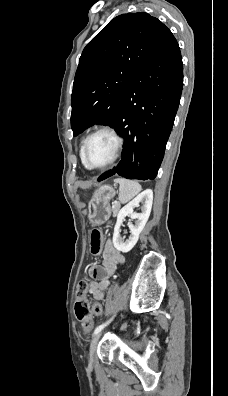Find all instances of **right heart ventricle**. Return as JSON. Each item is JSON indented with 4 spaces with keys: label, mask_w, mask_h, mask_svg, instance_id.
Here are the masks:
<instances>
[{
    "label": "right heart ventricle",
    "mask_w": 228,
    "mask_h": 396,
    "mask_svg": "<svg viewBox=\"0 0 228 396\" xmlns=\"http://www.w3.org/2000/svg\"><path fill=\"white\" fill-rule=\"evenodd\" d=\"M83 143H84V139L81 140L80 143V150H79V155H80V159L82 164L85 166L84 161H83V155H82V151H83ZM86 167V166H85ZM87 168V167H86Z\"/></svg>",
    "instance_id": "obj_1"
}]
</instances>
